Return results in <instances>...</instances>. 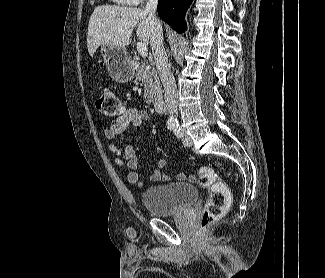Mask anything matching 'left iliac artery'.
Returning a JSON list of instances; mask_svg holds the SVG:
<instances>
[{"mask_svg":"<svg viewBox=\"0 0 325 278\" xmlns=\"http://www.w3.org/2000/svg\"><path fill=\"white\" fill-rule=\"evenodd\" d=\"M173 132L175 133V135H176L177 137H179V138L183 137V133H182V131H181V128H180L179 124H177V125H175V126L173 127Z\"/></svg>","mask_w":325,"mask_h":278,"instance_id":"44dca946","label":"left iliac artery"}]
</instances>
